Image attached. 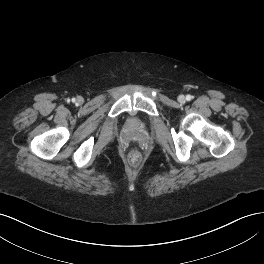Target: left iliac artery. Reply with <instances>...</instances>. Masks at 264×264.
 I'll list each match as a JSON object with an SVG mask.
<instances>
[{
    "label": "left iliac artery",
    "instance_id": "left-iliac-artery-1",
    "mask_svg": "<svg viewBox=\"0 0 264 264\" xmlns=\"http://www.w3.org/2000/svg\"><path fill=\"white\" fill-rule=\"evenodd\" d=\"M191 99H192V96H191V95H187V96H186V100H187V101H190Z\"/></svg>",
    "mask_w": 264,
    "mask_h": 264
}]
</instances>
